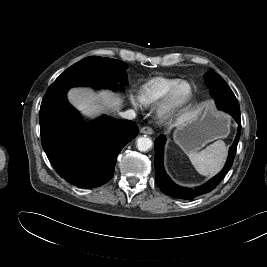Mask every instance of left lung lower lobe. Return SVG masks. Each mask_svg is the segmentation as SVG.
Instances as JSON below:
<instances>
[{
  "mask_svg": "<svg viewBox=\"0 0 267 267\" xmlns=\"http://www.w3.org/2000/svg\"><path fill=\"white\" fill-rule=\"evenodd\" d=\"M218 108L220 110H223L230 115L233 116L235 121L238 123V133L236 135V139L233 143V145L230 147L229 150V156L228 160L226 162L225 167L223 170L216 175L214 178L209 180L206 184L196 187L195 189H190V188H183L177 184H175L169 176L166 174L164 167H163V147L165 144V137L164 135H160L155 139V158H154V166H155V172H156V184L158 187L161 189V191L168 195L172 196L175 198H180V199H186L190 200L193 199L201 194L207 193L212 191L217 184L222 180L223 176L227 173V171L230 169L234 157H235V152L237 149V144L239 141L240 137V132H241V119H240V107L238 104V101L235 98H230L228 102H225L224 104H217Z\"/></svg>",
  "mask_w": 267,
  "mask_h": 267,
  "instance_id": "obj_1",
  "label": "left lung lower lobe"
}]
</instances>
